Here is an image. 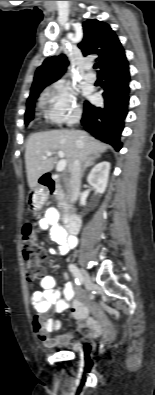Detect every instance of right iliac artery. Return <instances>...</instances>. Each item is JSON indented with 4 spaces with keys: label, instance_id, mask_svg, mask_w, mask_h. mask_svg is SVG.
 <instances>
[{
    "label": "right iliac artery",
    "instance_id": "obj_1",
    "mask_svg": "<svg viewBox=\"0 0 155 395\" xmlns=\"http://www.w3.org/2000/svg\"><path fill=\"white\" fill-rule=\"evenodd\" d=\"M68 268L70 272L73 274V276L75 277L76 284L81 286L83 282H82V274L80 273V270L74 264H69Z\"/></svg>",
    "mask_w": 155,
    "mask_h": 395
}]
</instances>
